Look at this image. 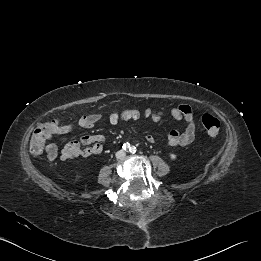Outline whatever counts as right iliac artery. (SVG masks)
<instances>
[{"instance_id": "82829eb1", "label": "right iliac artery", "mask_w": 261, "mask_h": 261, "mask_svg": "<svg viewBox=\"0 0 261 261\" xmlns=\"http://www.w3.org/2000/svg\"><path fill=\"white\" fill-rule=\"evenodd\" d=\"M128 148H130L129 143H126V144L123 145V149H124V150H126V149H128Z\"/></svg>"}]
</instances>
